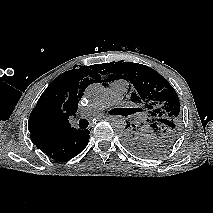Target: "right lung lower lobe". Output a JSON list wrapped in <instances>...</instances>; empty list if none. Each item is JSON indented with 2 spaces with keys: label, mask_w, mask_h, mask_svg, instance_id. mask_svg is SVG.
Wrapping results in <instances>:
<instances>
[{
  "label": "right lung lower lobe",
  "mask_w": 213,
  "mask_h": 213,
  "mask_svg": "<svg viewBox=\"0 0 213 213\" xmlns=\"http://www.w3.org/2000/svg\"><path fill=\"white\" fill-rule=\"evenodd\" d=\"M91 130V129H90ZM89 130L78 129L73 135L55 143H37L36 146L56 161L69 160L84 150L89 141Z\"/></svg>",
  "instance_id": "1"
}]
</instances>
